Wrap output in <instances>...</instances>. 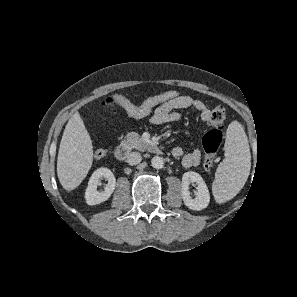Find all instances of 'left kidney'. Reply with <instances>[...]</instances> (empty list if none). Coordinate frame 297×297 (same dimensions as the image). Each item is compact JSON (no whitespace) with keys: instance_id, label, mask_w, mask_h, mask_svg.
I'll return each instance as SVG.
<instances>
[{"instance_id":"obj_1","label":"left kidney","mask_w":297,"mask_h":297,"mask_svg":"<svg viewBox=\"0 0 297 297\" xmlns=\"http://www.w3.org/2000/svg\"><path fill=\"white\" fill-rule=\"evenodd\" d=\"M190 183L197 184V193L195 198L190 196L189 185ZM182 189L181 194L184 204L192 210H202L206 208L210 202V194L206 183L200 174L193 171H188L182 176Z\"/></svg>"}]
</instances>
